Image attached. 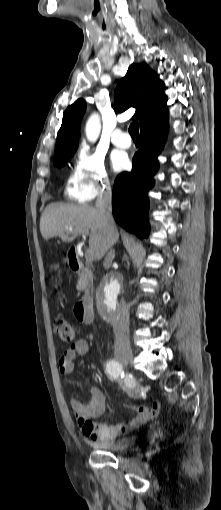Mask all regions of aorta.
Wrapping results in <instances>:
<instances>
[{"label":"aorta","mask_w":221,"mask_h":510,"mask_svg":"<svg viewBox=\"0 0 221 510\" xmlns=\"http://www.w3.org/2000/svg\"><path fill=\"white\" fill-rule=\"evenodd\" d=\"M101 129L100 117L98 114H92L85 127L87 139L95 141ZM122 289V282L117 277H110L101 286L99 292L100 309L108 314H115L117 309V296Z\"/></svg>","instance_id":"1"}]
</instances>
